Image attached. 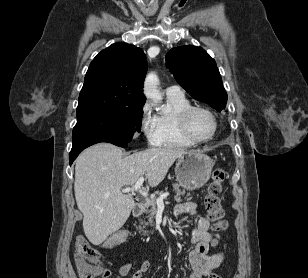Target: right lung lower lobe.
<instances>
[{
  "instance_id": "obj_1",
  "label": "right lung lower lobe",
  "mask_w": 308,
  "mask_h": 278,
  "mask_svg": "<svg viewBox=\"0 0 308 278\" xmlns=\"http://www.w3.org/2000/svg\"><path fill=\"white\" fill-rule=\"evenodd\" d=\"M96 143H98V142L79 143V144L73 145L72 150L70 152V156H69L70 165L73 163V161L77 158V156L80 154V152L82 150H84L88 146H91V145L96 144ZM115 145L120 146V147H126L127 146V144H115Z\"/></svg>"
}]
</instances>
